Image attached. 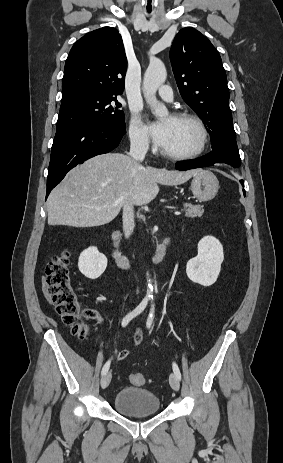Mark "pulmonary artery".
I'll return each instance as SVG.
<instances>
[{"label":"pulmonary artery","instance_id":"e3ab8cb5","mask_svg":"<svg viewBox=\"0 0 283 463\" xmlns=\"http://www.w3.org/2000/svg\"><path fill=\"white\" fill-rule=\"evenodd\" d=\"M159 96L165 101H172L173 100V92L170 86L163 85L158 90Z\"/></svg>","mask_w":283,"mask_h":463}]
</instances>
